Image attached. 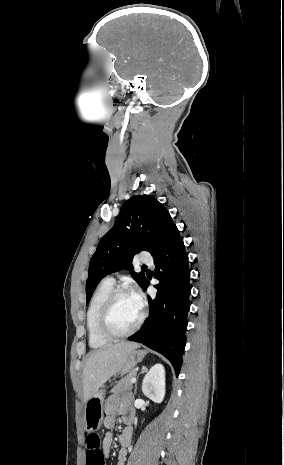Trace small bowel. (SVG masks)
<instances>
[{
  "label": "small bowel",
  "mask_w": 284,
  "mask_h": 465,
  "mask_svg": "<svg viewBox=\"0 0 284 465\" xmlns=\"http://www.w3.org/2000/svg\"><path fill=\"white\" fill-rule=\"evenodd\" d=\"M130 400V395L118 396L116 394H112L107 398L104 405V426L108 430L104 436L102 444L105 456H108L111 452L113 440L111 430L115 427L118 417H122V420L126 425L118 438L120 444L118 465H124L128 450L132 443L133 431L130 424L133 420L134 414L129 406Z\"/></svg>",
  "instance_id": "1"
}]
</instances>
